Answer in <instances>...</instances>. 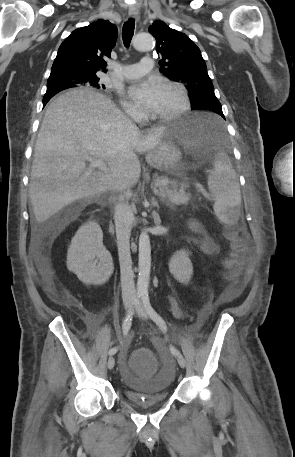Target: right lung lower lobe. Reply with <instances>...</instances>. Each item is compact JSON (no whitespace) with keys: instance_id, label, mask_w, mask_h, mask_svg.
Segmentation results:
<instances>
[{"instance_id":"right-lung-lower-lobe-1","label":"right lung lower lobe","mask_w":295,"mask_h":457,"mask_svg":"<svg viewBox=\"0 0 295 457\" xmlns=\"http://www.w3.org/2000/svg\"><path fill=\"white\" fill-rule=\"evenodd\" d=\"M71 87H74V86H70L68 84H64V83H54V84H50V85H47V92L46 94H48V91H51V90H56V91H61L63 89H67V88H71ZM45 94V96H46ZM43 98V105H45L47 102H46V98ZM54 96V95H53ZM52 97V96H51Z\"/></svg>"}]
</instances>
